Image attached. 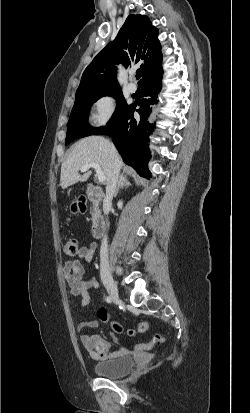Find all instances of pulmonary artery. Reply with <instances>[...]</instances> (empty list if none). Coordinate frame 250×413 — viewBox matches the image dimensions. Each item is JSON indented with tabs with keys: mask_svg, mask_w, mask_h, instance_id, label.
Masks as SVG:
<instances>
[{
	"mask_svg": "<svg viewBox=\"0 0 250 413\" xmlns=\"http://www.w3.org/2000/svg\"><path fill=\"white\" fill-rule=\"evenodd\" d=\"M127 89L129 92L134 93L137 91V85L134 82H129L127 85Z\"/></svg>",
	"mask_w": 250,
	"mask_h": 413,
	"instance_id": "obj_1",
	"label": "pulmonary artery"
}]
</instances>
